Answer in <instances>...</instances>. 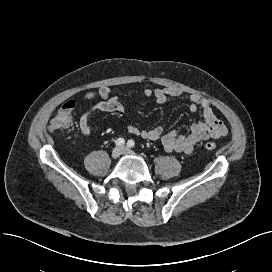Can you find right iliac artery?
I'll return each instance as SVG.
<instances>
[{"instance_id": "obj_1", "label": "right iliac artery", "mask_w": 272, "mask_h": 272, "mask_svg": "<svg viewBox=\"0 0 272 272\" xmlns=\"http://www.w3.org/2000/svg\"><path fill=\"white\" fill-rule=\"evenodd\" d=\"M115 143L117 146H123L125 144V140L123 138H118Z\"/></svg>"}]
</instances>
